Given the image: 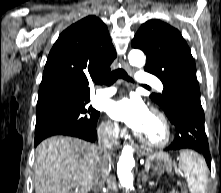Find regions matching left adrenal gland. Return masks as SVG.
I'll return each mask as SVG.
<instances>
[{
	"label": "left adrenal gland",
	"instance_id": "1",
	"mask_svg": "<svg viewBox=\"0 0 221 193\" xmlns=\"http://www.w3.org/2000/svg\"><path fill=\"white\" fill-rule=\"evenodd\" d=\"M149 174H148V171L145 169L142 171L141 173V179H142V182L146 183L148 180H149Z\"/></svg>",
	"mask_w": 221,
	"mask_h": 193
}]
</instances>
